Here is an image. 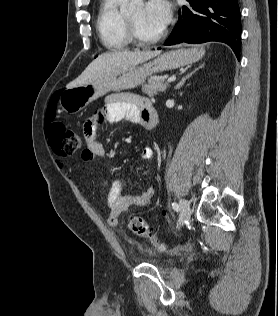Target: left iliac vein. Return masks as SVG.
Returning a JSON list of instances; mask_svg holds the SVG:
<instances>
[{
    "label": "left iliac vein",
    "instance_id": "left-iliac-vein-1",
    "mask_svg": "<svg viewBox=\"0 0 278 316\" xmlns=\"http://www.w3.org/2000/svg\"><path fill=\"white\" fill-rule=\"evenodd\" d=\"M180 219H179V226L183 225L184 222L190 219V205L187 200L180 199Z\"/></svg>",
    "mask_w": 278,
    "mask_h": 316
}]
</instances>
